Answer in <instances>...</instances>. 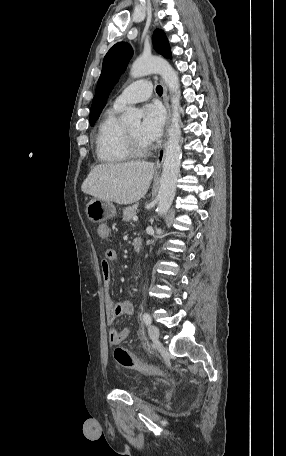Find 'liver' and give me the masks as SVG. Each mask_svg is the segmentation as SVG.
I'll return each instance as SVG.
<instances>
[{"instance_id":"1","label":"liver","mask_w":286,"mask_h":456,"mask_svg":"<svg viewBox=\"0 0 286 456\" xmlns=\"http://www.w3.org/2000/svg\"><path fill=\"white\" fill-rule=\"evenodd\" d=\"M153 175L154 164L147 161L100 164L91 170L81 190L99 200L128 205L147 193Z\"/></svg>"}]
</instances>
